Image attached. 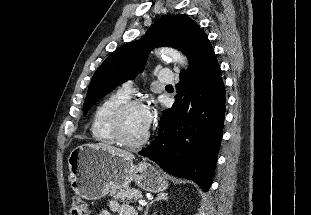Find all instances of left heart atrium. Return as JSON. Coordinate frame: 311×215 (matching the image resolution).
<instances>
[{
	"mask_svg": "<svg viewBox=\"0 0 311 215\" xmlns=\"http://www.w3.org/2000/svg\"><path fill=\"white\" fill-rule=\"evenodd\" d=\"M152 120H153V111L149 108H145L143 115V124L146 131L149 130Z\"/></svg>",
	"mask_w": 311,
	"mask_h": 215,
	"instance_id": "1",
	"label": "left heart atrium"
}]
</instances>
